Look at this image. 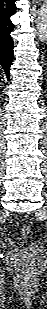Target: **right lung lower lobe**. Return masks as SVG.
Listing matches in <instances>:
<instances>
[{"instance_id":"1","label":"right lung lower lobe","mask_w":47,"mask_h":309,"mask_svg":"<svg viewBox=\"0 0 47 309\" xmlns=\"http://www.w3.org/2000/svg\"><path fill=\"white\" fill-rule=\"evenodd\" d=\"M16 0H0V65L9 79L13 59V40L10 32L14 25L10 17L16 13Z\"/></svg>"}]
</instances>
